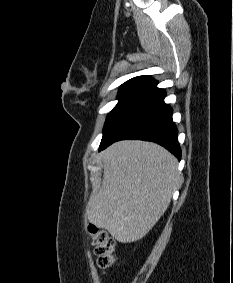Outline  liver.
Listing matches in <instances>:
<instances>
[{"label":"liver","instance_id":"1","mask_svg":"<svg viewBox=\"0 0 233 283\" xmlns=\"http://www.w3.org/2000/svg\"><path fill=\"white\" fill-rule=\"evenodd\" d=\"M103 183L88 202L90 223L121 243L142 239L167 210L180 182L178 160L162 146L119 141L102 152Z\"/></svg>","mask_w":233,"mask_h":283}]
</instances>
